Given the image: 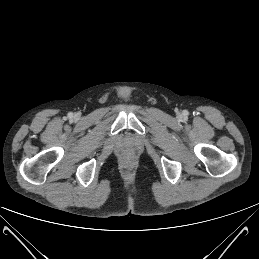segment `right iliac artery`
Wrapping results in <instances>:
<instances>
[{
	"label": "right iliac artery",
	"instance_id": "1",
	"mask_svg": "<svg viewBox=\"0 0 259 259\" xmlns=\"http://www.w3.org/2000/svg\"><path fill=\"white\" fill-rule=\"evenodd\" d=\"M68 117H69V118H72V117H73V113H69V114H68Z\"/></svg>",
	"mask_w": 259,
	"mask_h": 259
}]
</instances>
